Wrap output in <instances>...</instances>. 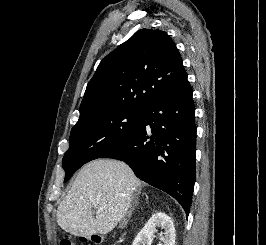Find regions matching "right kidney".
<instances>
[{
  "mask_svg": "<svg viewBox=\"0 0 266 245\" xmlns=\"http://www.w3.org/2000/svg\"><path fill=\"white\" fill-rule=\"evenodd\" d=\"M157 227H161L164 231L162 239L164 245H175L174 223L165 213H154L142 231L135 237L132 245H150L155 237L154 233H156Z\"/></svg>",
  "mask_w": 266,
  "mask_h": 245,
  "instance_id": "1",
  "label": "right kidney"
}]
</instances>
